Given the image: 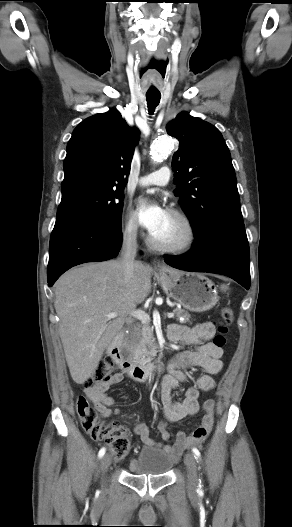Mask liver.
<instances>
[{"label": "liver", "instance_id": "6515ba94", "mask_svg": "<svg viewBox=\"0 0 292 527\" xmlns=\"http://www.w3.org/2000/svg\"><path fill=\"white\" fill-rule=\"evenodd\" d=\"M150 291V270L140 261L134 262L130 279H126L120 259L85 264L58 279L54 307L60 319L59 335L77 384L92 376L127 314ZM110 313H117V317L108 319Z\"/></svg>", "mask_w": 292, "mask_h": 527}]
</instances>
